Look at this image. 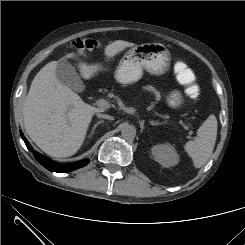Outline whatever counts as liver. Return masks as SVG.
I'll use <instances>...</instances> for the list:
<instances>
[{
  "mask_svg": "<svg viewBox=\"0 0 245 245\" xmlns=\"http://www.w3.org/2000/svg\"><path fill=\"white\" fill-rule=\"evenodd\" d=\"M134 43L116 40L105 47V61ZM68 53L59 61L47 63L34 77L23 104V120L26 133L46 154L53 157H69L82 146L95 108L80 98L72 89L56 77V67L62 60L74 58ZM81 76L89 80L101 71H107L102 63L78 62Z\"/></svg>",
  "mask_w": 245,
  "mask_h": 245,
  "instance_id": "liver-1",
  "label": "liver"
}]
</instances>
